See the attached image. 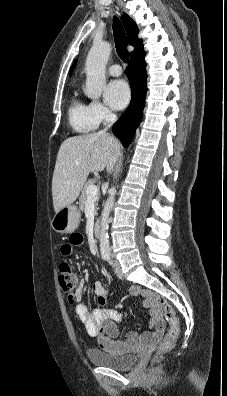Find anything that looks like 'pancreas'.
Segmentation results:
<instances>
[{"mask_svg": "<svg viewBox=\"0 0 227 396\" xmlns=\"http://www.w3.org/2000/svg\"><path fill=\"white\" fill-rule=\"evenodd\" d=\"M94 184V181H92V180H90V181H88L86 184H85V186L83 187V189H82V194H81V196H80V200H79V207H80V210H84L85 209V205H86V201H87V198H88V194H87V188H88V186H90V185H93ZM98 200H99V195H96L95 197H94V201H95V214H97L96 213V211H97V206H98Z\"/></svg>", "mask_w": 227, "mask_h": 396, "instance_id": "cf45deb5", "label": "pancreas"}]
</instances>
